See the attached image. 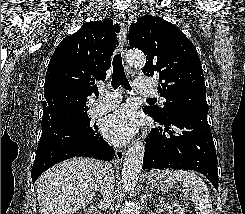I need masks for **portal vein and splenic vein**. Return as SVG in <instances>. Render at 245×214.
<instances>
[{
    "instance_id": "portal-vein-and-splenic-vein-1",
    "label": "portal vein and splenic vein",
    "mask_w": 245,
    "mask_h": 214,
    "mask_svg": "<svg viewBox=\"0 0 245 214\" xmlns=\"http://www.w3.org/2000/svg\"><path fill=\"white\" fill-rule=\"evenodd\" d=\"M183 197H184V198H186V199H188V197H187V195H186V194H185Z\"/></svg>"
}]
</instances>
